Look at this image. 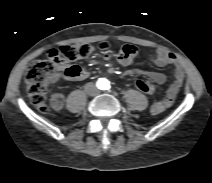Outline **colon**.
I'll return each instance as SVG.
<instances>
[{
  "label": "colon",
  "instance_id": "1",
  "mask_svg": "<svg viewBox=\"0 0 212 183\" xmlns=\"http://www.w3.org/2000/svg\"><path fill=\"white\" fill-rule=\"evenodd\" d=\"M109 48L110 44L103 41L97 45L86 43L79 45H64L51 49L47 59L33 62L25 74L26 90L31 103L40 112H47V89L49 84L56 77L58 66L68 61L87 58L97 50L107 51ZM76 73L77 70L73 66L64 71V75L68 78L73 77ZM135 87L148 95H152L155 91L153 83L146 79L135 80Z\"/></svg>",
  "mask_w": 212,
  "mask_h": 183
}]
</instances>
